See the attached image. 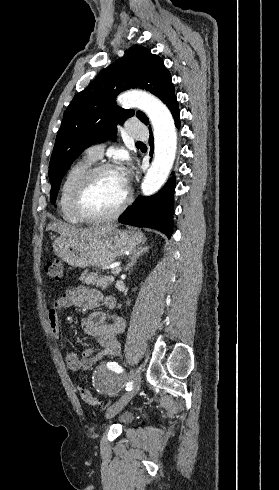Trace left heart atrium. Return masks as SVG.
<instances>
[{
  "mask_svg": "<svg viewBox=\"0 0 279 490\" xmlns=\"http://www.w3.org/2000/svg\"><path fill=\"white\" fill-rule=\"evenodd\" d=\"M121 175V183L123 187L127 190L128 189V183H129V171L124 170L120 172Z\"/></svg>",
  "mask_w": 279,
  "mask_h": 490,
  "instance_id": "39dd6f15",
  "label": "left heart atrium"
}]
</instances>
